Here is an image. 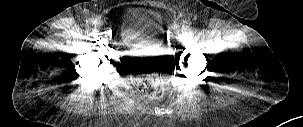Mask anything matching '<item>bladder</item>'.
Segmentation results:
<instances>
[{
  "instance_id": "bladder-1",
  "label": "bladder",
  "mask_w": 303,
  "mask_h": 127,
  "mask_svg": "<svg viewBox=\"0 0 303 127\" xmlns=\"http://www.w3.org/2000/svg\"><path fill=\"white\" fill-rule=\"evenodd\" d=\"M119 35L126 45L163 43L161 15L145 7H131L123 15Z\"/></svg>"
}]
</instances>
